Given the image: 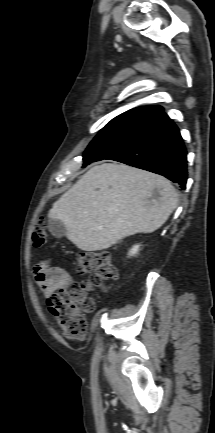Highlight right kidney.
Segmentation results:
<instances>
[{"label": "right kidney", "instance_id": "ca27d5eb", "mask_svg": "<svg viewBox=\"0 0 215 433\" xmlns=\"http://www.w3.org/2000/svg\"><path fill=\"white\" fill-rule=\"evenodd\" d=\"M140 245H134L129 251V256H134L139 251Z\"/></svg>", "mask_w": 215, "mask_h": 433}]
</instances>
